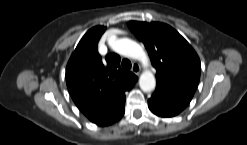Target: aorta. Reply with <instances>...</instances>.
I'll use <instances>...</instances> for the list:
<instances>
[{"label": "aorta", "instance_id": "762f6f07", "mask_svg": "<svg viewBox=\"0 0 247 145\" xmlns=\"http://www.w3.org/2000/svg\"><path fill=\"white\" fill-rule=\"evenodd\" d=\"M110 47L117 53L148 63V56L143 48L133 40L122 38L109 42ZM139 86L142 91L150 92L156 86V80L152 72L144 71L139 78Z\"/></svg>", "mask_w": 247, "mask_h": 145}]
</instances>
